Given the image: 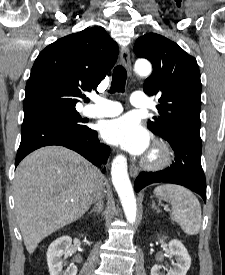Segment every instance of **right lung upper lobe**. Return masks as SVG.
<instances>
[{"label":"right lung upper lobe","instance_id":"right-lung-upper-lobe-1","mask_svg":"<svg viewBox=\"0 0 225 275\" xmlns=\"http://www.w3.org/2000/svg\"><path fill=\"white\" fill-rule=\"evenodd\" d=\"M117 56V43L98 27L50 44L39 53L32 67L25 89L24 116L76 110L77 98H85L81 91L96 88Z\"/></svg>","mask_w":225,"mask_h":275}]
</instances>
